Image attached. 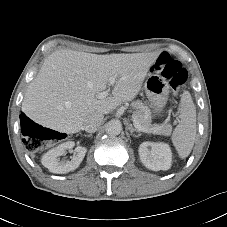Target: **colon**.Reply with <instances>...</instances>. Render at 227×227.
<instances>
[{
    "label": "colon",
    "mask_w": 227,
    "mask_h": 227,
    "mask_svg": "<svg viewBox=\"0 0 227 227\" xmlns=\"http://www.w3.org/2000/svg\"><path fill=\"white\" fill-rule=\"evenodd\" d=\"M153 71L169 81L172 89L176 92L187 79L186 68L168 53H162L155 61ZM27 139L25 148L36 151L49 139H54L53 132L37 124L29 122L25 126Z\"/></svg>",
    "instance_id": "obj_1"
}]
</instances>
